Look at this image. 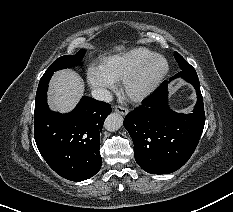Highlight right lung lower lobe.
<instances>
[{
	"label": "right lung lower lobe",
	"instance_id": "98d812e1",
	"mask_svg": "<svg viewBox=\"0 0 233 212\" xmlns=\"http://www.w3.org/2000/svg\"><path fill=\"white\" fill-rule=\"evenodd\" d=\"M110 113V104L87 96L70 113L53 112L46 90L36 99L34 137L47 164L71 181L94 176L102 165L99 136Z\"/></svg>",
	"mask_w": 233,
	"mask_h": 212
}]
</instances>
